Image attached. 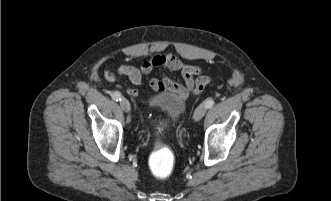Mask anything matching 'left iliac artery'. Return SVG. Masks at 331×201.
Returning <instances> with one entry per match:
<instances>
[{
  "instance_id": "left-iliac-artery-1",
  "label": "left iliac artery",
  "mask_w": 331,
  "mask_h": 201,
  "mask_svg": "<svg viewBox=\"0 0 331 201\" xmlns=\"http://www.w3.org/2000/svg\"><path fill=\"white\" fill-rule=\"evenodd\" d=\"M214 105V101L212 100V99H207L206 101H205V106H206V108H211L212 106Z\"/></svg>"
}]
</instances>
